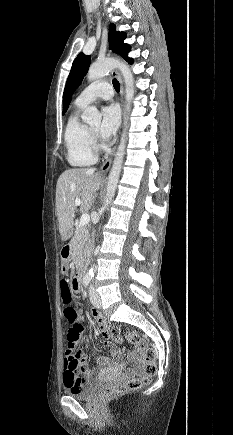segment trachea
<instances>
[{
    "mask_svg": "<svg viewBox=\"0 0 233 435\" xmlns=\"http://www.w3.org/2000/svg\"><path fill=\"white\" fill-rule=\"evenodd\" d=\"M112 83H113V86H114L115 90L117 92H119L120 91V84H119V82L116 79H113Z\"/></svg>",
    "mask_w": 233,
    "mask_h": 435,
    "instance_id": "trachea-1",
    "label": "trachea"
}]
</instances>
